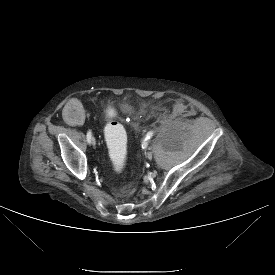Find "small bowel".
Returning <instances> with one entry per match:
<instances>
[{
  "mask_svg": "<svg viewBox=\"0 0 275 275\" xmlns=\"http://www.w3.org/2000/svg\"><path fill=\"white\" fill-rule=\"evenodd\" d=\"M85 109V102L82 97L73 95L68 98L65 105L61 106L58 111V116L61 121L80 126L85 120L83 113Z\"/></svg>",
  "mask_w": 275,
  "mask_h": 275,
  "instance_id": "small-bowel-1",
  "label": "small bowel"
}]
</instances>
